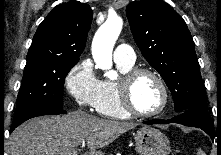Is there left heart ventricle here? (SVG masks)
I'll return each instance as SVG.
<instances>
[{"label": "left heart ventricle", "mask_w": 221, "mask_h": 155, "mask_svg": "<svg viewBox=\"0 0 221 155\" xmlns=\"http://www.w3.org/2000/svg\"><path fill=\"white\" fill-rule=\"evenodd\" d=\"M132 98L136 108L146 113L157 110L163 100L158 83L149 75H142L136 80L132 89Z\"/></svg>", "instance_id": "left-heart-ventricle-1"}]
</instances>
